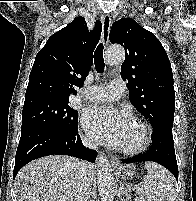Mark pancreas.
I'll use <instances>...</instances> for the list:
<instances>
[{
  "label": "pancreas",
  "instance_id": "1",
  "mask_svg": "<svg viewBox=\"0 0 196 201\" xmlns=\"http://www.w3.org/2000/svg\"><path fill=\"white\" fill-rule=\"evenodd\" d=\"M129 193H130V191H128V192L126 193L127 199H130Z\"/></svg>",
  "mask_w": 196,
  "mask_h": 201
}]
</instances>
